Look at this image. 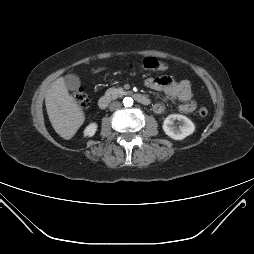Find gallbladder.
Here are the masks:
<instances>
[{
  "mask_svg": "<svg viewBox=\"0 0 254 254\" xmlns=\"http://www.w3.org/2000/svg\"><path fill=\"white\" fill-rule=\"evenodd\" d=\"M65 86L68 90H77L80 86V79L74 74H68L64 77Z\"/></svg>",
  "mask_w": 254,
  "mask_h": 254,
  "instance_id": "obj_1",
  "label": "gallbladder"
}]
</instances>
